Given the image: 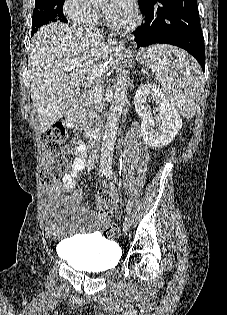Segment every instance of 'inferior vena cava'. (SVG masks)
<instances>
[{
  "label": "inferior vena cava",
  "instance_id": "obj_1",
  "mask_svg": "<svg viewBox=\"0 0 227 315\" xmlns=\"http://www.w3.org/2000/svg\"><path fill=\"white\" fill-rule=\"evenodd\" d=\"M89 34L92 36V37H100V31L99 29L97 28H93L91 27L89 30H88ZM111 166V161L110 162H105L103 160H101V168H104V167H110Z\"/></svg>",
  "mask_w": 227,
  "mask_h": 315
}]
</instances>
